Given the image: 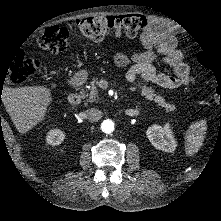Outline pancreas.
Instances as JSON below:
<instances>
[{"instance_id":"obj_1","label":"pancreas","mask_w":221,"mask_h":221,"mask_svg":"<svg viewBox=\"0 0 221 221\" xmlns=\"http://www.w3.org/2000/svg\"><path fill=\"white\" fill-rule=\"evenodd\" d=\"M89 97L88 102H95L97 97V87L99 82L95 78H91L87 82ZM135 91L146 102L154 103L158 109H163L167 116H174L176 114V107L169 102L158 90L152 89L146 81H138L135 84Z\"/></svg>"}]
</instances>
